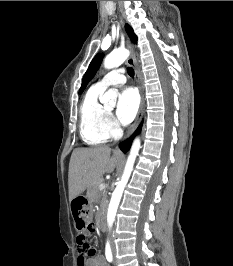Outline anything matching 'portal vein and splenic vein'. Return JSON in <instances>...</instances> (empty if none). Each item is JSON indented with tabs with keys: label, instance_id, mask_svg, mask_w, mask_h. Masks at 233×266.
Here are the masks:
<instances>
[{
	"label": "portal vein and splenic vein",
	"instance_id": "obj_1",
	"mask_svg": "<svg viewBox=\"0 0 233 266\" xmlns=\"http://www.w3.org/2000/svg\"><path fill=\"white\" fill-rule=\"evenodd\" d=\"M99 189H100V190L105 189V184H104V183H100V184H99Z\"/></svg>",
	"mask_w": 233,
	"mask_h": 266
}]
</instances>
